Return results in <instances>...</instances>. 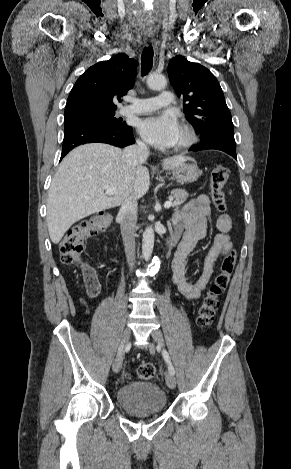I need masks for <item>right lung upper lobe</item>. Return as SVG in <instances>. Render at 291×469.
Listing matches in <instances>:
<instances>
[{
    "label": "right lung upper lobe",
    "mask_w": 291,
    "mask_h": 469,
    "mask_svg": "<svg viewBox=\"0 0 291 469\" xmlns=\"http://www.w3.org/2000/svg\"><path fill=\"white\" fill-rule=\"evenodd\" d=\"M136 69V61L122 53L91 66L72 88L65 115L94 109H116L114 102L120 101V97L132 88Z\"/></svg>",
    "instance_id": "right-lung-upper-lobe-1"
}]
</instances>
